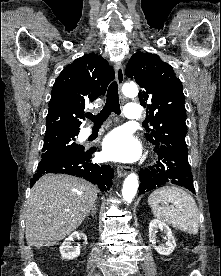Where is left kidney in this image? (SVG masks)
<instances>
[{"mask_svg": "<svg viewBox=\"0 0 221 276\" xmlns=\"http://www.w3.org/2000/svg\"><path fill=\"white\" fill-rule=\"evenodd\" d=\"M158 230H161L166 234L167 242L165 245L154 246V248L159 254L168 256L174 251L176 241L168 225L158 219H153L149 223V241L152 244L156 243V234L158 233Z\"/></svg>", "mask_w": 221, "mask_h": 276, "instance_id": "left-kidney-1", "label": "left kidney"}]
</instances>
